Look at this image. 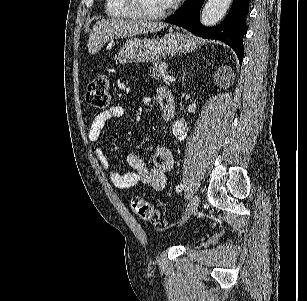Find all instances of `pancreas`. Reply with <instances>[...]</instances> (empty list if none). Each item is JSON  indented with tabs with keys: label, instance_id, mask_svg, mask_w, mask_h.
Listing matches in <instances>:
<instances>
[{
	"label": "pancreas",
	"instance_id": "cf45deb5",
	"mask_svg": "<svg viewBox=\"0 0 307 301\" xmlns=\"http://www.w3.org/2000/svg\"><path fill=\"white\" fill-rule=\"evenodd\" d=\"M166 62H154L153 66H149L148 74L152 78H161L164 74H167Z\"/></svg>",
	"mask_w": 307,
	"mask_h": 301
}]
</instances>
